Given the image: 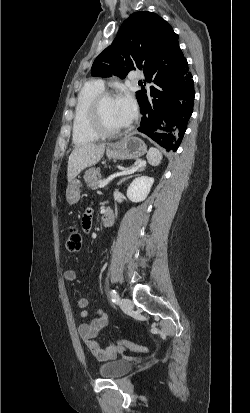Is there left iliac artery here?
Wrapping results in <instances>:
<instances>
[{
    "label": "left iliac artery",
    "mask_w": 250,
    "mask_h": 413,
    "mask_svg": "<svg viewBox=\"0 0 250 413\" xmlns=\"http://www.w3.org/2000/svg\"><path fill=\"white\" fill-rule=\"evenodd\" d=\"M110 295H111L113 303H118L119 302V299H120L119 295L114 289L110 290Z\"/></svg>",
    "instance_id": "obj_1"
}]
</instances>
